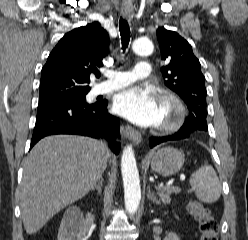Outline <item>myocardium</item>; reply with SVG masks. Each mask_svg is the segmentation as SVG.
<instances>
[{"mask_svg":"<svg viewBox=\"0 0 248 240\" xmlns=\"http://www.w3.org/2000/svg\"><path fill=\"white\" fill-rule=\"evenodd\" d=\"M159 101L168 104L172 112L170 116L157 126L160 133H172L179 130L185 123L188 111L183 100L171 91H164L159 96Z\"/></svg>","mask_w":248,"mask_h":240,"instance_id":"f54148a6","label":"myocardium"}]
</instances>
